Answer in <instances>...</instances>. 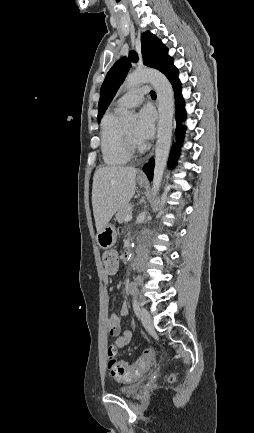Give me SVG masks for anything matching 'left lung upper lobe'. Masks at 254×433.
I'll return each instance as SVG.
<instances>
[{
    "instance_id": "5c2ea615",
    "label": "left lung upper lobe",
    "mask_w": 254,
    "mask_h": 433,
    "mask_svg": "<svg viewBox=\"0 0 254 433\" xmlns=\"http://www.w3.org/2000/svg\"><path fill=\"white\" fill-rule=\"evenodd\" d=\"M141 49L143 62L149 67H153L162 73L172 64L173 59L168 55V49L159 39L149 31L141 35ZM136 53L130 52L129 59L122 57L108 71L100 90V100L98 103V122H100L108 105L115 96L120 84L126 77L131 66L130 61H137Z\"/></svg>"
}]
</instances>
